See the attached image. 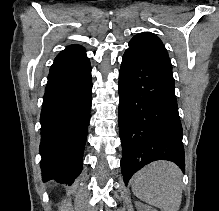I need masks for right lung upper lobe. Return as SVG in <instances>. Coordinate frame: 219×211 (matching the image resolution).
Segmentation results:
<instances>
[{
	"instance_id": "right-lung-upper-lobe-1",
	"label": "right lung upper lobe",
	"mask_w": 219,
	"mask_h": 211,
	"mask_svg": "<svg viewBox=\"0 0 219 211\" xmlns=\"http://www.w3.org/2000/svg\"><path fill=\"white\" fill-rule=\"evenodd\" d=\"M86 57L85 49L79 45H70L59 53L55 60L59 59H77Z\"/></svg>"
}]
</instances>
